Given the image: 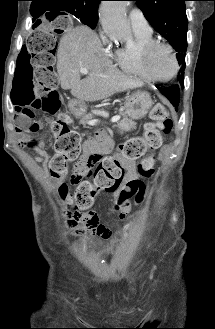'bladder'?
Masks as SVG:
<instances>
[{"instance_id":"31cf9c89","label":"bladder","mask_w":215,"mask_h":329,"mask_svg":"<svg viewBox=\"0 0 215 329\" xmlns=\"http://www.w3.org/2000/svg\"><path fill=\"white\" fill-rule=\"evenodd\" d=\"M82 251L95 256H103L108 252V246L99 238L86 240L82 244Z\"/></svg>"}]
</instances>
